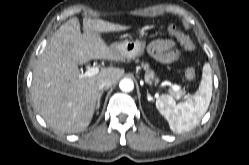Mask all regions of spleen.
Wrapping results in <instances>:
<instances>
[{"mask_svg":"<svg viewBox=\"0 0 249 165\" xmlns=\"http://www.w3.org/2000/svg\"><path fill=\"white\" fill-rule=\"evenodd\" d=\"M212 70L209 63L202 69V79L198 91L185 102L176 104L170 95H161L156 100V108L166 118L170 129L176 133L190 131L206 113L212 97Z\"/></svg>","mask_w":249,"mask_h":165,"instance_id":"3e777b00","label":"spleen"}]
</instances>
